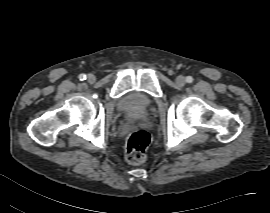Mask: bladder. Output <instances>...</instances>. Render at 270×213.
Returning <instances> with one entry per match:
<instances>
[{
	"instance_id": "obj_1",
	"label": "bladder",
	"mask_w": 270,
	"mask_h": 213,
	"mask_svg": "<svg viewBox=\"0 0 270 213\" xmlns=\"http://www.w3.org/2000/svg\"><path fill=\"white\" fill-rule=\"evenodd\" d=\"M154 106V100L148 94L132 91L121 96L116 102V108L122 114L140 115L147 113Z\"/></svg>"
}]
</instances>
